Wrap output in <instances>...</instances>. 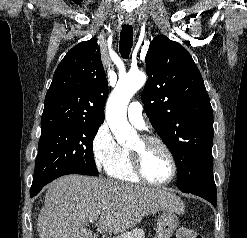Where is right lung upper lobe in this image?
<instances>
[{"label":"right lung upper lobe","instance_id":"right-lung-upper-lobe-1","mask_svg":"<svg viewBox=\"0 0 247 238\" xmlns=\"http://www.w3.org/2000/svg\"><path fill=\"white\" fill-rule=\"evenodd\" d=\"M108 84L95 38L77 44L58 65L45 97L41 128L102 123Z\"/></svg>","mask_w":247,"mask_h":238}]
</instances>
